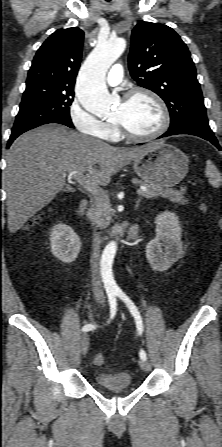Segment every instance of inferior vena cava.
Instances as JSON below:
<instances>
[{"mask_svg": "<svg viewBox=\"0 0 222 447\" xmlns=\"http://www.w3.org/2000/svg\"><path fill=\"white\" fill-rule=\"evenodd\" d=\"M100 234L94 232L93 234V253H92V285L93 293L96 298L103 300L104 294L102 290L100 278Z\"/></svg>", "mask_w": 222, "mask_h": 447, "instance_id": "inferior-vena-cava-1", "label": "inferior vena cava"}]
</instances>
